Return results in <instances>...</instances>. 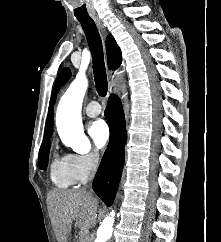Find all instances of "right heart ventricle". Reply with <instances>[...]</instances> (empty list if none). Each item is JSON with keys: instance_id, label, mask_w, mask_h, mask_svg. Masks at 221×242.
<instances>
[{"instance_id": "obj_1", "label": "right heart ventricle", "mask_w": 221, "mask_h": 242, "mask_svg": "<svg viewBox=\"0 0 221 242\" xmlns=\"http://www.w3.org/2000/svg\"><path fill=\"white\" fill-rule=\"evenodd\" d=\"M50 177L52 182L61 188H66L75 182L67 157H54L50 167Z\"/></svg>"}]
</instances>
